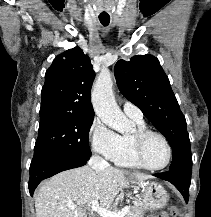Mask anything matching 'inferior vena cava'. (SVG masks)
Wrapping results in <instances>:
<instances>
[{
	"instance_id": "602c4592",
	"label": "inferior vena cava",
	"mask_w": 211,
	"mask_h": 217,
	"mask_svg": "<svg viewBox=\"0 0 211 217\" xmlns=\"http://www.w3.org/2000/svg\"><path fill=\"white\" fill-rule=\"evenodd\" d=\"M89 165L98 173L109 166V163L99 155H94L89 160Z\"/></svg>"
}]
</instances>
